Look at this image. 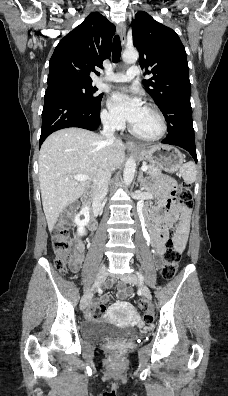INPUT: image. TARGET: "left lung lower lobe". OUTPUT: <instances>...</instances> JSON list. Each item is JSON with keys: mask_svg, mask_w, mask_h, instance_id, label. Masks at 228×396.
Listing matches in <instances>:
<instances>
[{"mask_svg": "<svg viewBox=\"0 0 228 396\" xmlns=\"http://www.w3.org/2000/svg\"><path fill=\"white\" fill-rule=\"evenodd\" d=\"M175 102L181 104L182 110L179 114L175 113ZM161 111L168 124V135L161 143L184 148L197 162L190 97H179L177 100L167 104Z\"/></svg>", "mask_w": 228, "mask_h": 396, "instance_id": "left-lung-lower-lobe-1", "label": "left lung lower lobe"}]
</instances>
